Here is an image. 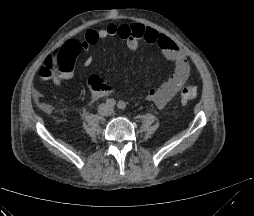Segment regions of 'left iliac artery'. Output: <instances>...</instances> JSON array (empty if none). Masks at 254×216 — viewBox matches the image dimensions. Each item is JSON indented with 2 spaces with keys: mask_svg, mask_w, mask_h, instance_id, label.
<instances>
[{
  "mask_svg": "<svg viewBox=\"0 0 254 216\" xmlns=\"http://www.w3.org/2000/svg\"><path fill=\"white\" fill-rule=\"evenodd\" d=\"M117 107H118L120 110H125L126 104H125V102H123V101H119L118 104H117Z\"/></svg>",
  "mask_w": 254,
  "mask_h": 216,
  "instance_id": "1",
  "label": "left iliac artery"
}]
</instances>
